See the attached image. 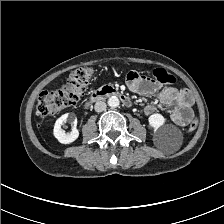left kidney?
I'll return each instance as SVG.
<instances>
[{
	"instance_id": "obj_1",
	"label": "left kidney",
	"mask_w": 224,
	"mask_h": 224,
	"mask_svg": "<svg viewBox=\"0 0 224 224\" xmlns=\"http://www.w3.org/2000/svg\"><path fill=\"white\" fill-rule=\"evenodd\" d=\"M149 124L154 130H157L160 126H162L165 122L166 119L161 115V114H152L149 119Z\"/></svg>"
}]
</instances>
